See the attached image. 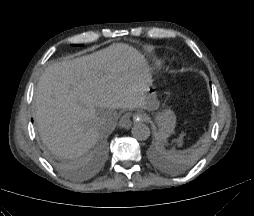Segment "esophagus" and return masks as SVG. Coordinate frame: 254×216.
<instances>
[{
  "label": "esophagus",
  "mask_w": 254,
  "mask_h": 216,
  "mask_svg": "<svg viewBox=\"0 0 254 216\" xmlns=\"http://www.w3.org/2000/svg\"><path fill=\"white\" fill-rule=\"evenodd\" d=\"M133 120L135 121H144L145 117L142 114H135L133 115ZM132 123L130 120V116L128 114L124 115L120 121L119 126L125 129H129L131 127Z\"/></svg>",
  "instance_id": "34e87169"
}]
</instances>
